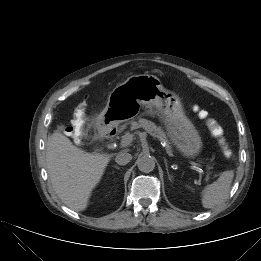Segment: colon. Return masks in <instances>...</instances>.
<instances>
[{
	"mask_svg": "<svg viewBox=\"0 0 261 261\" xmlns=\"http://www.w3.org/2000/svg\"><path fill=\"white\" fill-rule=\"evenodd\" d=\"M194 111L197 112L198 116L205 120L209 131L211 133V135L217 140L220 151L222 153V155L225 158H230L232 156V151L226 141L225 138V134H224V130L223 128L217 123L216 120L209 118L208 114L206 111L201 110L199 107H194ZM68 135L72 136V137H77L78 136V132L76 131V129L74 127H69L66 129Z\"/></svg>",
	"mask_w": 261,
	"mask_h": 261,
	"instance_id": "obj_1",
	"label": "colon"
}]
</instances>
